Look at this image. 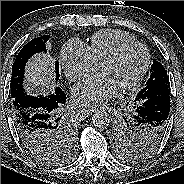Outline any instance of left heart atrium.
<instances>
[{"label":"left heart atrium","mask_w":184,"mask_h":184,"mask_svg":"<svg viewBox=\"0 0 184 184\" xmlns=\"http://www.w3.org/2000/svg\"><path fill=\"white\" fill-rule=\"evenodd\" d=\"M119 87L107 74L98 73L77 83L73 90V101L80 106L97 108L117 94Z\"/></svg>","instance_id":"left-heart-atrium-1"}]
</instances>
